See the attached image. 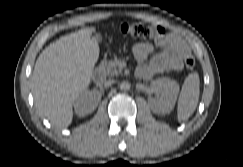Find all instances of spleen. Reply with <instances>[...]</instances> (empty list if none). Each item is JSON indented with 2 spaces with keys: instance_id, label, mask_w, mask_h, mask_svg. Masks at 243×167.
Segmentation results:
<instances>
[{
  "instance_id": "obj_1",
  "label": "spleen",
  "mask_w": 243,
  "mask_h": 167,
  "mask_svg": "<svg viewBox=\"0 0 243 167\" xmlns=\"http://www.w3.org/2000/svg\"><path fill=\"white\" fill-rule=\"evenodd\" d=\"M200 94V79L197 72L189 74L182 85L178 99L177 116L179 121L187 120L195 111Z\"/></svg>"
}]
</instances>
